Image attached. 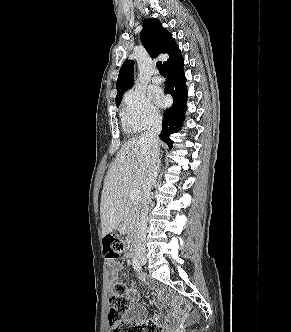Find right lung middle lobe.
I'll return each mask as SVG.
<instances>
[{
  "label": "right lung middle lobe",
  "instance_id": "dd1d6c3e",
  "mask_svg": "<svg viewBox=\"0 0 291 332\" xmlns=\"http://www.w3.org/2000/svg\"><path fill=\"white\" fill-rule=\"evenodd\" d=\"M120 102H121V101H119V102H116V106H117V107H119V105H120Z\"/></svg>",
  "mask_w": 291,
  "mask_h": 332
}]
</instances>
